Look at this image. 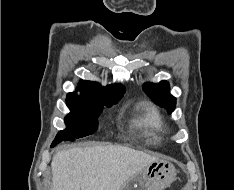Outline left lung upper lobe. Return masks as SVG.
Segmentation results:
<instances>
[{
  "label": "left lung upper lobe",
  "instance_id": "obj_1",
  "mask_svg": "<svg viewBox=\"0 0 234 190\" xmlns=\"http://www.w3.org/2000/svg\"><path fill=\"white\" fill-rule=\"evenodd\" d=\"M143 89L156 104L166 108L168 113L174 111L176 107V99L169 93V83L166 81H161L159 83H145Z\"/></svg>",
  "mask_w": 234,
  "mask_h": 190
}]
</instances>
